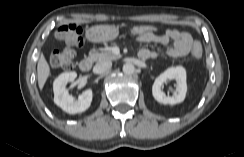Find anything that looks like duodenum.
I'll use <instances>...</instances> for the list:
<instances>
[{"mask_svg":"<svg viewBox=\"0 0 244 157\" xmlns=\"http://www.w3.org/2000/svg\"><path fill=\"white\" fill-rule=\"evenodd\" d=\"M92 63H93L92 58L90 57L83 58L79 63V68L83 72H89L92 68Z\"/></svg>","mask_w":244,"mask_h":157,"instance_id":"1","label":"duodenum"}]
</instances>
